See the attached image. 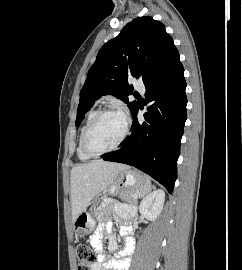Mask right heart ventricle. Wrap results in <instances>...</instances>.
Wrapping results in <instances>:
<instances>
[{
    "mask_svg": "<svg viewBox=\"0 0 242 270\" xmlns=\"http://www.w3.org/2000/svg\"><path fill=\"white\" fill-rule=\"evenodd\" d=\"M98 111L97 110H92L88 113L81 129H80V133H79V139H78V146H77V154H78V157L81 159V160H88L90 159L91 157L86 155L82 148H81V140H82V136H83V133H84V130L86 128V126L88 125V123L91 121V119L95 116V114L97 113Z\"/></svg>",
    "mask_w": 242,
    "mask_h": 270,
    "instance_id": "obj_1",
    "label": "right heart ventricle"
}]
</instances>
